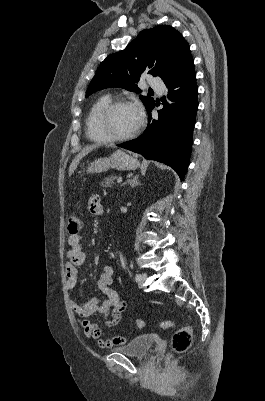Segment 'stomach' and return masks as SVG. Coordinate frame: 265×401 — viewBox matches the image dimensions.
<instances>
[{"label":"stomach","mask_w":265,"mask_h":401,"mask_svg":"<svg viewBox=\"0 0 265 401\" xmlns=\"http://www.w3.org/2000/svg\"><path fill=\"white\" fill-rule=\"evenodd\" d=\"M139 166V160L131 154H126L124 150H115L111 156H100L95 158L87 166L86 172H105L109 168H117V170H135Z\"/></svg>","instance_id":"obj_1"}]
</instances>
